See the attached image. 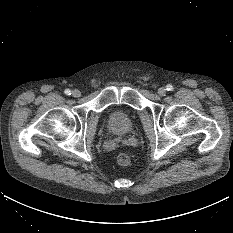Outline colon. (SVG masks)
<instances>
[{
  "label": "colon",
  "instance_id": "5ec220e1",
  "mask_svg": "<svg viewBox=\"0 0 233 233\" xmlns=\"http://www.w3.org/2000/svg\"><path fill=\"white\" fill-rule=\"evenodd\" d=\"M117 162L122 166L129 165L131 162V157L127 153H120L117 157Z\"/></svg>",
  "mask_w": 233,
  "mask_h": 233
}]
</instances>
